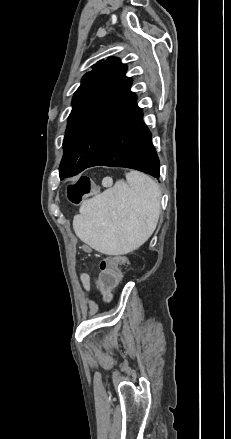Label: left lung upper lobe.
I'll return each instance as SVG.
<instances>
[{
    "instance_id": "obj_1",
    "label": "left lung upper lobe",
    "mask_w": 231,
    "mask_h": 439,
    "mask_svg": "<svg viewBox=\"0 0 231 439\" xmlns=\"http://www.w3.org/2000/svg\"><path fill=\"white\" fill-rule=\"evenodd\" d=\"M74 93L63 140L61 180L83 171L99 148L136 103L126 65L108 58L92 66Z\"/></svg>"
}]
</instances>
